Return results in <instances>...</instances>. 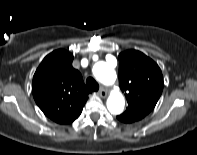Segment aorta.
I'll return each instance as SVG.
<instances>
[{
  "label": "aorta",
  "instance_id": "aorta-1",
  "mask_svg": "<svg viewBox=\"0 0 197 155\" xmlns=\"http://www.w3.org/2000/svg\"><path fill=\"white\" fill-rule=\"evenodd\" d=\"M93 74L98 81L104 85H113L116 81L117 75L114 67L106 62H97L93 66ZM125 106V99L123 95L115 90L111 92L107 99V108L111 114H120L123 112Z\"/></svg>",
  "mask_w": 197,
  "mask_h": 155
}]
</instances>
